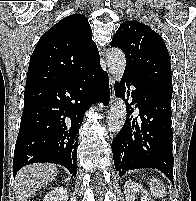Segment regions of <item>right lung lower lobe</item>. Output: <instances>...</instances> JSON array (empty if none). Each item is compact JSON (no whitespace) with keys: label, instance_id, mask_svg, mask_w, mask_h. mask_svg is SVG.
<instances>
[{"label":"right lung lower lobe","instance_id":"98d812e1","mask_svg":"<svg viewBox=\"0 0 196 201\" xmlns=\"http://www.w3.org/2000/svg\"><path fill=\"white\" fill-rule=\"evenodd\" d=\"M94 101L109 102V79L100 62L72 78L25 90L14 176L37 162L60 164L75 176L79 128Z\"/></svg>","mask_w":196,"mask_h":201}]
</instances>
